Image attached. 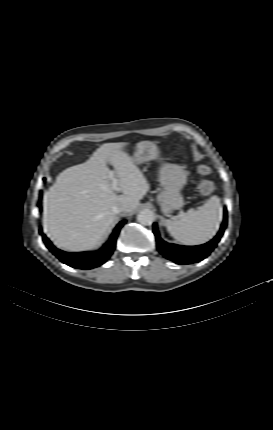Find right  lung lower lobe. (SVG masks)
Segmentation results:
<instances>
[{
    "instance_id": "obj_1",
    "label": "right lung lower lobe",
    "mask_w": 273,
    "mask_h": 430,
    "mask_svg": "<svg viewBox=\"0 0 273 430\" xmlns=\"http://www.w3.org/2000/svg\"><path fill=\"white\" fill-rule=\"evenodd\" d=\"M42 194H40V197ZM40 207V205H38ZM125 220L121 221L115 228L110 239L104 244V246L96 252H80V253H68L57 249L49 241V239L43 234L40 229L43 241L48 249L63 263L79 269H92L100 266L112 255L115 246L117 235L120 228L125 224Z\"/></svg>"
}]
</instances>
